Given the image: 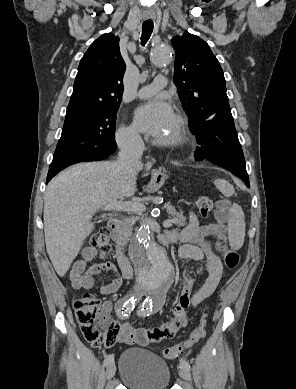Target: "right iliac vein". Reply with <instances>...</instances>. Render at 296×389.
I'll return each instance as SVG.
<instances>
[{
    "instance_id": "right-iliac-vein-1",
    "label": "right iliac vein",
    "mask_w": 296,
    "mask_h": 389,
    "mask_svg": "<svg viewBox=\"0 0 296 389\" xmlns=\"http://www.w3.org/2000/svg\"><path fill=\"white\" fill-rule=\"evenodd\" d=\"M115 372H116V367H115L114 363H110L106 369L107 379H111L115 375Z\"/></svg>"
}]
</instances>
